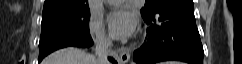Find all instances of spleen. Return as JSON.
Here are the masks:
<instances>
[{"label": "spleen", "instance_id": "1", "mask_svg": "<svg viewBox=\"0 0 242 64\" xmlns=\"http://www.w3.org/2000/svg\"><path fill=\"white\" fill-rule=\"evenodd\" d=\"M163 64H181L180 62H166V63H163Z\"/></svg>", "mask_w": 242, "mask_h": 64}]
</instances>
